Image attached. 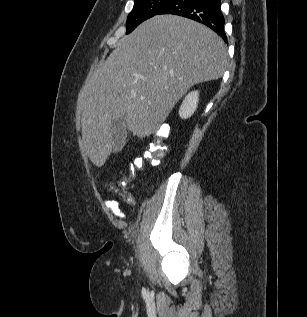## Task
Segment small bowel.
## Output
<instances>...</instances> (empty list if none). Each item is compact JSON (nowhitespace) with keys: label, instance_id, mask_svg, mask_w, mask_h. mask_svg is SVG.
<instances>
[{"label":"small bowel","instance_id":"obj_1","mask_svg":"<svg viewBox=\"0 0 307 317\" xmlns=\"http://www.w3.org/2000/svg\"><path fill=\"white\" fill-rule=\"evenodd\" d=\"M103 179H99V185L103 186L102 184ZM125 198L127 201H130V196L129 194L125 193ZM105 205L107 206V208L111 211V213L119 220H124L125 219V213L123 212V210L120 207V204L118 201L116 200H106L105 201Z\"/></svg>","mask_w":307,"mask_h":317}]
</instances>
